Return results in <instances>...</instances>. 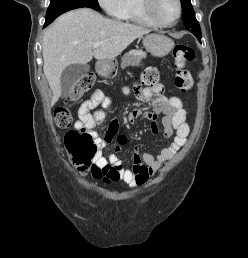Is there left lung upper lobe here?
<instances>
[{"label":"left lung upper lobe","instance_id":"5c2ea615","mask_svg":"<svg viewBox=\"0 0 248 258\" xmlns=\"http://www.w3.org/2000/svg\"><path fill=\"white\" fill-rule=\"evenodd\" d=\"M182 18L187 29H200L199 23L195 18V13L191 5V0H181Z\"/></svg>","mask_w":248,"mask_h":258}]
</instances>
